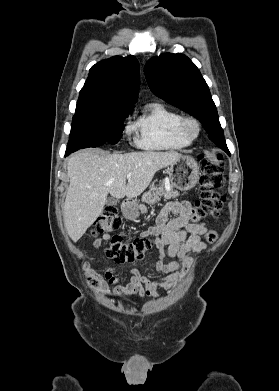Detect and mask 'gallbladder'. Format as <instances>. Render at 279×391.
Wrapping results in <instances>:
<instances>
[{"instance_id":"obj_1","label":"gallbladder","mask_w":279,"mask_h":391,"mask_svg":"<svg viewBox=\"0 0 279 391\" xmlns=\"http://www.w3.org/2000/svg\"><path fill=\"white\" fill-rule=\"evenodd\" d=\"M118 200L114 198H109L106 202L107 205L112 206V205H117Z\"/></svg>"}]
</instances>
